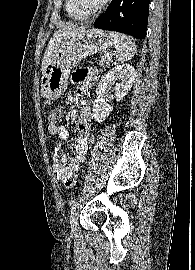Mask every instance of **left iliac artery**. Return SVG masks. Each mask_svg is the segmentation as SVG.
<instances>
[{
    "mask_svg": "<svg viewBox=\"0 0 195 270\" xmlns=\"http://www.w3.org/2000/svg\"><path fill=\"white\" fill-rule=\"evenodd\" d=\"M78 201H75L72 205V208H71V215L73 216L75 211H76V207L78 206Z\"/></svg>",
    "mask_w": 195,
    "mask_h": 270,
    "instance_id": "obj_1",
    "label": "left iliac artery"
}]
</instances>
